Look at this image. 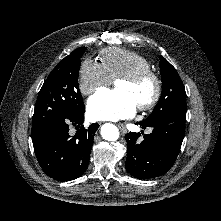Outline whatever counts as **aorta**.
I'll return each mask as SVG.
<instances>
[{
    "mask_svg": "<svg viewBox=\"0 0 221 221\" xmlns=\"http://www.w3.org/2000/svg\"><path fill=\"white\" fill-rule=\"evenodd\" d=\"M101 136L107 141H115L119 138V130L113 124H104L101 128Z\"/></svg>",
    "mask_w": 221,
    "mask_h": 221,
    "instance_id": "1",
    "label": "aorta"
}]
</instances>
